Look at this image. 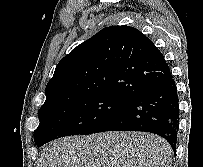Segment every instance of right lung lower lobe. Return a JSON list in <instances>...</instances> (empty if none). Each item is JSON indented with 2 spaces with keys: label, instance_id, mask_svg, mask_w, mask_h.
I'll use <instances>...</instances> for the list:
<instances>
[{
  "label": "right lung lower lobe",
  "instance_id": "right-lung-lower-lobe-1",
  "mask_svg": "<svg viewBox=\"0 0 203 167\" xmlns=\"http://www.w3.org/2000/svg\"><path fill=\"white\" fill-rule=\"evenodd\" d=\"M179 130V99L172 75L143 92L94 133L105 131H145L163 137L176 149Z\"/></svg>",
  "mask_w": 203,
  "mask_h": 167
}]
</instances>
